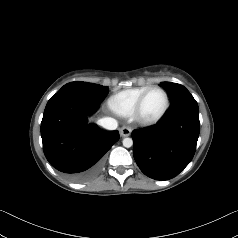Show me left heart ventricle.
<instances>
[{
  "label": "left heart ventricle",
  "mask_w": 238,
  "mask_h": 238,
  "mask_svg": "<svg viewBox=\"0 0 238 238\" xmlns=\"http://www.w3.org/2000/svg\"><path fill=\"white\" fill-rule=\"evenodd\" d=\"M165 106V96L161 90L155 89L146 97L143 107L142 116L144 118H154L158 116Z\"/></svg>",
  "instance_id": "b2bd125f"
}]
</instances>
